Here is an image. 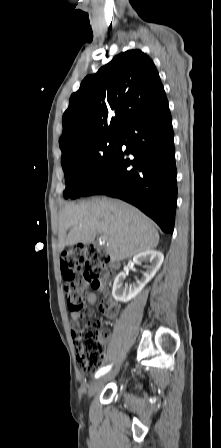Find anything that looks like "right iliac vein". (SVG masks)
Instances as JSON below:
<instances>
[{
    "label": "right iliac vein",
    "instance_id": "63e3f726",
    "mask_svg": "<svg viewBox=\"0 0 221 448\" xmlns=\"http://www.w3.org/2000/svg\"><path fill=\"white\" fill-rule=\"evenodd\" d=\"M118 370H119V368H117L105 375H102L97 380H95L89 388V392H88L89 397H92L107 380L112 379L117 374Z\"/></svg>",
    "mask_w": 221,
    "mask_h": 448
}]
</instances>
